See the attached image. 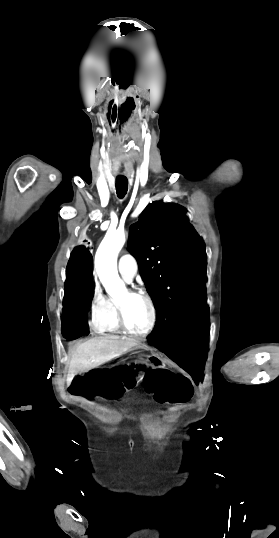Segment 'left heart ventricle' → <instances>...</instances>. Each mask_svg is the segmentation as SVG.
Returning a JSON list of instances; mask_svg holds the SVG:
<instances>
[{"label": "left heart ventricle", "instance_id": "1", "mask_svg": "<svg viewBox=\"0 0 279 538\" xmlns=\"http://www.w3.org/2000/svg\"><path fill=\"white\" fill-rule=\"evenodd\" d=\"M118 298L125 301V315L128 326L136 332L144 331L150 322V308L146 301L138 297H130L126 290Z\"/></svg>", "mask_w": 279, "mask_h": 538}]
</instances>
